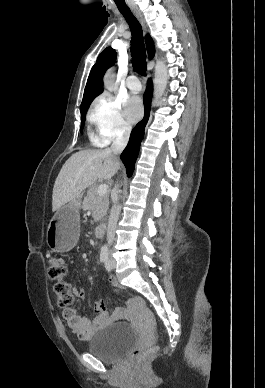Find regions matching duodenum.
Masks as SVG:
<instances>
[{
	"label": "duodenum",
	"mask_w": 265,
	"mask_h": 388,
	"mask_svg": "<svg viewBox=\"0 0 265 388\" xmlns=\"http://www.w3.org/2000/svg\"><path fill=\"white\" fill-rule=\"evenodd\" d=\"M105 231H106V223H100L98 224V226L96 227L95 229V235L98 237V238H101L104 236L105 234Z\"/></svg>",
	"instance_id": "1"
}]
</instances>
